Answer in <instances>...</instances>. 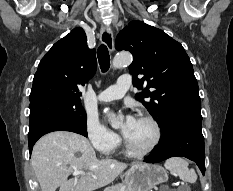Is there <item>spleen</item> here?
I'll list each match as a JSON object with an SVG mask.
<instances>
[{"instance_id":"spleen-1","label":"spleen","mask_w":233,"mask_h":191,"mask_svg":"<svg viewBox=\"0 0 233 191\" xmlns=\"http://www.w3.org/2000/svg\"><path fill=\"white\" fill-rule=\"evenodd\" d=\"M165 168L173 175L179 176L183 181L194 183L197 180L195 170L188 168V162L183 158L174 157L165 162ZM181 191V190H177Z\"/></svg>"}]
</instances>
